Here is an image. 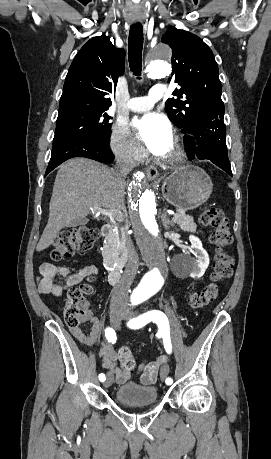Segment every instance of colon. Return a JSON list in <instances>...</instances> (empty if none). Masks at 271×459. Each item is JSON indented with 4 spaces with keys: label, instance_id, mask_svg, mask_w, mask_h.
Returning <instances> with one entry per match:
<instances>
[{
    "label": "colon",
    "instance_id": "colon-1",
    "mask_svg": "<svg viewBox=\"0 0 271 459\" xmlns=\"http://www.w3.org/2000/svg\"><path fill=\"white\" fill-rule=\"evenodd\" d=\"M201 225L211 228L210 242L215 248L213 270L211 279L213 283L208 284L202 290H195L188 296L189 305L193 308H200L214 301L218 296L216 282H222L233 273L234 259L229 252L233 237L230 231L227 217L223 210L211 207L206 209L199 218ZM98 238L96 229L79 226L72 230L63 232L54 243L51 258L60 261L71 257L76 252H88ZM92 292L89 283L73 287L68 291L65 305V321L68 326H78L90 314L86 298ZM122 367L132 372L136 363L131 350L123 346L118 351Z\"/></svg>",
    "mask_w": 271,
    "mask_h": 459
}]
</instances>
